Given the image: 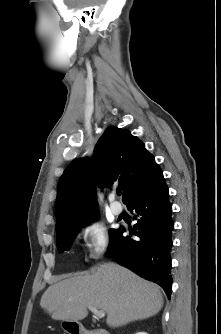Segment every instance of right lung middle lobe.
I'll return each instance as SVG.
<instances>
[{"mask_svg": "<svg viewBox=\"0 0 221 334\" xmlns=\"http://www.w3.org/2000/svg\"><path fill=\"white\" fill-rule=\"evenodd\" d=\"M90 221L76 224L65 228L60 234L56 235L57 240V248L59 252H63L64 250H68L71 242L80 231V227L87 225ZM118 230L112 229L109 231L110 240L112 241L115 237Z\"/></svg>", "mask_w": 221, "mask_h": 334, "instance_id": "dd1d6c3e", "label": "right lung middle lobe"}]
</instances>
